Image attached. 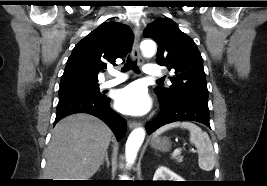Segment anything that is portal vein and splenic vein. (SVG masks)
I'll use <instances>...</instances> for the list:
<instances>
[{"instance_id":"portal-vein-and-splenic-vein-1","label":"portal vein and splenic vein","mask_w":267,"mask_h":186,"mask_svg":"<svg viewBox=\"0 0 267 186\" xmlns=\"http://www.w3.org/2000/svg\"><path fill=\"white\" fill-rule=\"evenodd\" d=\"M180 154V149H175L174 150V152H173V156L175 157V156H177V155H179Z\"/></svg>"}]
</instances>
